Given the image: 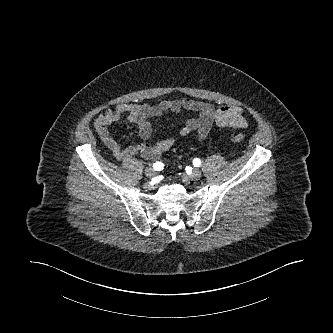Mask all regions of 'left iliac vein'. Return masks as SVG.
Segmentation results:
<instances>
[{
    "instance_id": "4c4485c4",
    "label": "left iliac vein",
    "mask_w": 333,
    "mask_h": 333,
    "mask_svg": "<svg viewBox=\"0 0 333 333\" xmlns=\"http://www.w3.org/2000/svg\"><path fill=\"white\" fill-rule=\"evenodd\" d=\"M189 178L194 181L199 180L201 178V172L198 169H193L189 175Z\"/></svg>"
}]
</instances>
